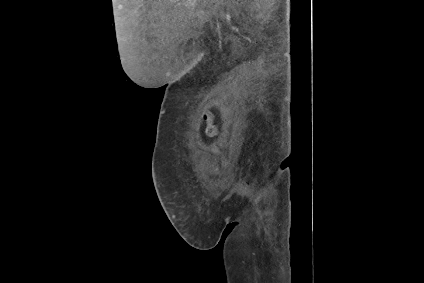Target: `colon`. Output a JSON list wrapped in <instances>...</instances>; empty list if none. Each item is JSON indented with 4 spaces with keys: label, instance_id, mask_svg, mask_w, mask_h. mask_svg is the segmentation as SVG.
<instances>
[{
    "label": "colon",
    "instance_id": "obj_1",
    "mask_svg": "<svg viewBox=\"0 0 424 283\" xmlns=\"http://www.w3.org/2000/svg\"><path fill=\"white\" fill-rule=\"evenodd\" d=\"M205 120L207 121V127L206 132L209 135H216L217 134V127L214 124V117L211 113L205 114Z\"/></svg>",
    "mask_w": 424,
    "mask_h": 283
}]
</instances>
